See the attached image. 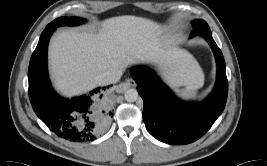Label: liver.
Segmentation results:
<instances>
[{"instance_id":"obj_1","label":"liver","mask_w":267,"mask_h":166,"mask_svg":"<svg viewBox=\"0 0 267 166\" xmlns=\"http://www.w3.org/2000/svg\"><path fill=\"white\" fill-rule=\"evenodd\" d=\"M49 62L56 88L69 96L101 85L100 74L110 69L123 71L134 63L159 64L179 86L204 83L198 64L189 53L170 45L160 25L132 15L102 21L97 34L60 31L50 43Z\"/></svg>"}]
</instances>
